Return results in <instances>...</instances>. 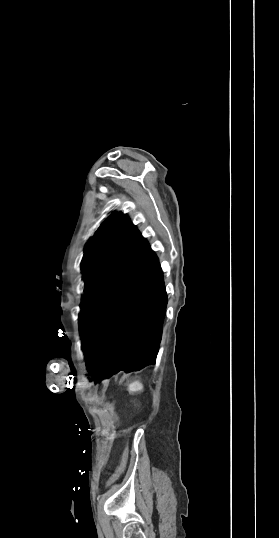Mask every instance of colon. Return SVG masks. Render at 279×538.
<instances>
[{
  "instance_id": "5ec220e1",
  "label": "colon",
  "mask_w": 279,
  "mask_h": 538,
  "mask_svg": "<svg viewBox=\"0 0 279 538\" xmlns=\"http://www.w3.org/2000/svg\"><path fill=\"white\" fill-rule=\"evenodd\" d=\"M128 458H129V447H128V445H126V447L124 448L123 454H122L120 464L117 467V469H116L115 473L113 474V476L111 477V479L109 481V485L114 483L123 474V472L125 471L127 462H128Z\"/></svg>"
}]
</instances>
